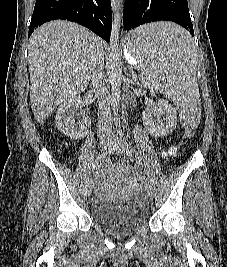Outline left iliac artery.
Here are the masks:
<instances>
[{
  "label": "left iliac artery",
  "mask_w": 227,
  "mask_h": 267,
  "mask_svg": "<svg viewBox=\"0 0 227 267\" xmlns=\"http://www.w3.org/2000/svg\"><path fill=\"white\" fill-rule=\"evenodd\" d=\"M129 145L131 146L132 150L135 151V149H134V147L131 145V143H129ZM138 161H139V163H140V158H139V157H138Z\"/></svg>",
  "instance_id": "44dca946"
}]
</instances>
